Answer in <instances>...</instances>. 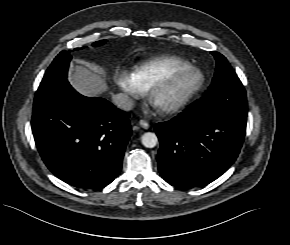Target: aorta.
<instances>
[{"label":"aorta","mask_w":290,"mask_h":245,"mask_svg":"<svg viewBox=\"0 0 290 245\" xmlns=\"http://www.w3.org/2000/svg\"><path fill=\"white\" fill-rule=\"evenodd\" d=\"M142 144L147 148H153L158 143V138L155 133L146 132L141 137Z\"/></svg>","instance_id":"aorta-1"}]
</instances>
